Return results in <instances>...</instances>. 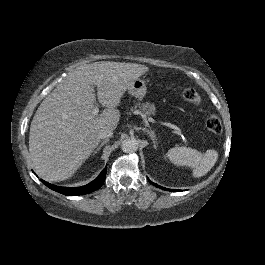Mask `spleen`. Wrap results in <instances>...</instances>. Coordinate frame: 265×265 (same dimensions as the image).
<instances>
[{
	"label": "spleen",
	"mask_w": 265,
	"mask_h": 265,
	"mask_svg": "<svg viewBox=\"0 0 265 265\" xmlns=\"http://www.w3.org/2000/svg\"><path fill=\"white\" fill-rule=\"evenodd\" d=\"M167 157L175 165L193 168L194 177H202L215 165L218 153L215 150H207L202 154L189 147L176 146L168 150Z\"/></svg>",
	"instance_id": "obj_1"
}]
</instances>
